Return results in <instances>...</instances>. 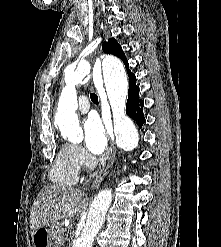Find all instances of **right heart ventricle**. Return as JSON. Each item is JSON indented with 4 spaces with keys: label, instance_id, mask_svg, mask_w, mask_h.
<instances>
[{
    "label": "right heart ventricle",
    "instance_id": "1",
    "mask_svg": "<svg viewBox=\"0 0 221 247\" xmlns=\"http://www.w3.org/2000/svg\"><path fill=\"white\" fill-rule=\"evenodd\" d=\"M77 169L72 156L71 145L65 144L58 151L49 178L53 183L60 185H72L78 180Z\"/></svg>",
    "mask_w": 221,
    "mask_h": 247
}]
</instances>
